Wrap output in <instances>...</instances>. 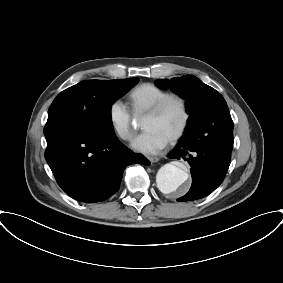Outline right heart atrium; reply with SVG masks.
<instances>
[{"label": "right heart atrium", "mask_w": 283, "mask_h": 283, "mask_svg": "<svg viewBox=\"0 0 283 283\" xmlns=\"http://www.w3.org/2000/svg\"><path fill=\"white\" fill-rule=\"evenodd\" d=\"M109 123L114 133L122 140H130L134 136L133 116L122 100H114L108 111Z\"/></svg>", "instance_id": "d8ad5b80"}]
</instances>
